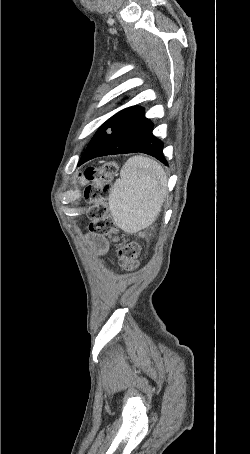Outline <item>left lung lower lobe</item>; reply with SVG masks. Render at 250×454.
Listing matches in <instances>:
<instances>
[{
    "mask_svg": "<svg viewBox=\"0 0 250 454\" xmlns=\"http://www.w3.org/2000/svg\"><path fill=\"white\" fill-rule=\"evenodd\" d=\"M153 124L143 109L129 107L107 120L91 139L78 166L99 156L141 152L168 165L162 153L163 143L153 136Z\"/></svg>",
    "mask_w": 250,
    "mask_h": 454,
    "instance_id": "0a47b994",
    "label": "left lung lower lobe"
}]
</instances>
